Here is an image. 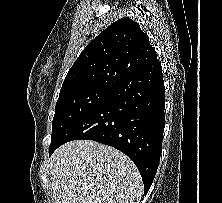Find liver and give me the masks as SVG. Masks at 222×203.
Returning a JSON list of instances; mask_svg holds the SVG:
<instances>
[{
	"mask_svg": "<svg viewBox=\"0 0 222 203\" xmlns=\"http://www.w3.org/2000/svg\"><path fill=\"white\" fill-rule=\"evenodd\" d=\"M54 203H139L143 183L119 150L90 140L68 142L50 158Z\"/></svg>",
	"mask_w": 222,
	"mask_h": 203,
	"instance_id": "1",
	"label": "liver"
}]
</instances>
